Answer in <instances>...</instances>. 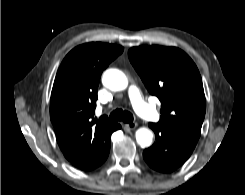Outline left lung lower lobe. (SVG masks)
Returning a JSON list of instances; mask_svg holds the SVG:
<instances>
[{"mask_svg":"<svg viewBox=\"0 0 245 195\" xmlns=\"http://www.w3.org/2000/svg\"><path fill=\"white\" fill-rule=\"evenodd\" d=\"M156 142L144 150L147 164L156 171L169 173L180 167L193 152L199 138L170 127L149 123Z\"/></svg>","mask_w":245,"mask_h":195,"instance_id":"1","label":"left lung lower lobe"}]
</instances>
